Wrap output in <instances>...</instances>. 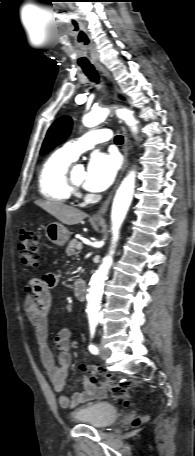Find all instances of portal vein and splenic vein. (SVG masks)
Segmentation results:
<instances>
[{
    "mask_svg": "<svg viewBox=\"0 0 195 456\" xmlns=\"http://www.w3.org/2000/svg\"><path fill=\"white\" fill-rule=\"evenodd\" d=\"M77 250H81L82 249V244L79 243L77 246H76Z\"/></svg>",
    "mask_w": 195,
    "mask_h": 456,
    "instance_id": "obj_1",
    "label": "portal vein and splenic vein"
}]
</instances>
